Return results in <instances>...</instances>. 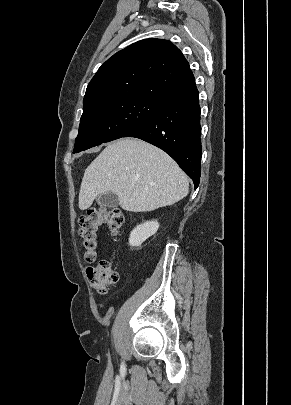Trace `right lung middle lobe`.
Masks as SVG:
<instances>
[{"instance_id": "obj_1", "label": "right lung middle lobe", "mask_w": 291, "mask_h": 405, "mask_svg": "<svg viewBox=\"0 0 291 405\" xmlns=\"http://www.w3.org/2000/svg\"><path fill=\"white\" fill-rule=\"evenodd\" d=\"M162 104L146 98H125L84 108L73 153L124 137L148 121Z\"/></svg>"}]
</instances>
